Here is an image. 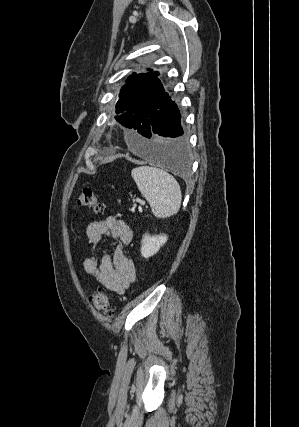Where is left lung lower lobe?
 <instances>
[{
	"mask_svg": "<svg viewBox=\"0 0 299 427\" xmlns=\"http://www.w3.org/2000/svg\"><path fill=\"white\" fill-rule=\"evenodd\" d=\"M140 113L138 121L141 124L137 132L149 140L143 142L137 150L156 164L175 172H187L188 141L176 103L168 96L164 102L147 110L142 109Z\"/></svg>",
	"mask_w": 299,
	"mask_h": 427,
	"instance_id": "obj_1",
	"label": "left lung lower lobe"
}]
</instances>
